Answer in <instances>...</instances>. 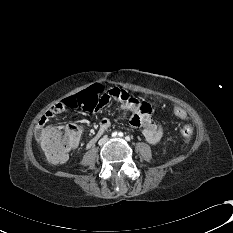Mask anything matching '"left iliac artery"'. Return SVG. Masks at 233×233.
<instances>
[{
	"label": "left iliac artery",
	"instance_id": "obj_1",
	"mask_svg": "<svg viewBox=\"0 0 233 233\" xmlns=\"http://www.w3.org/2000/svg\"><path fill=\"white\" fill-rule=\"evenodd\" d=\"M118 135H119L120 137H122V136H123V133H122V132H119Z\"/></svg>",
	"mask_w": 233,
	"mask_h": 233
}]
</instances>
